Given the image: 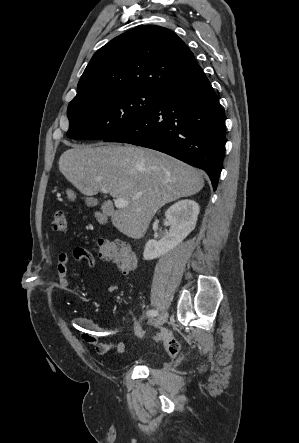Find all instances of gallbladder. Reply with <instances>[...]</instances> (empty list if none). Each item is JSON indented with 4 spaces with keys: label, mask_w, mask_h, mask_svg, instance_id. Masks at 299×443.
<instances>
[{
    "label": "gallbladder",
    "mask_w": 299,
    "mask_h": 443,
    "mask_svg": "<svg viewBox=\"0 0 299 443\" xmlns=\"http://www.w3.org/2000/svg\"><path fill=\"white\" fill-rule=\"evenodd\" d=\"M86 204L88 206H96L97 205V200L94 198H87L86 199Z\"/></svg>",
    "instance_id": "1"
}]
</instances>
